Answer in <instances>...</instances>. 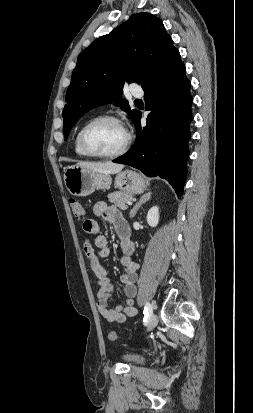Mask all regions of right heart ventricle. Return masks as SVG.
<instances>
[{
  "instance_id": "e07e8e85",
  "label": "right heart ventricle",
  "mask_w": 253,
  "mask_h": 413,
  "mask_svg": "<svg viewBox=\"0 0 253 413\" xmlns=\"http://www.w3.org/2000/svg\"><path fill=\"white\" fill-rule=\"evenodd\" d=\"M87 123V121L83 122L82 124L79 125V127L76 129L74 138H73V146H74V151L76 155L79 157H86L87 155L81 150L80 145H79V134L82 129V127Z\"/></svg>"
}]
</instances>
